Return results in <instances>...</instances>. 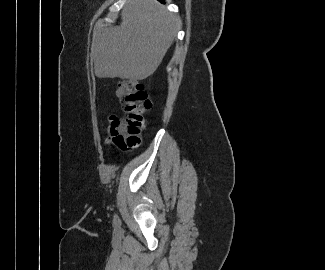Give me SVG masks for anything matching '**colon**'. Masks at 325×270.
Here are the masks:
<instances>
[{
	"instance_id": "colon-1",
	"label": "colon",
	"mask_w": 325,
	"mask_h": 270,
	"mask_svg": "<svg viewBox=\"0 0 325 270\" xmlns=\"http://www.w3.org/2000/svg\"><path fill=\"white\" fill-rule=\"evenodd\" d=\"M117 96L121 101L125 116L118 119L111 131V139L119 149L129 151L141 142V133L145 127V114L151 107V101L144 86L135 80L119 82Z\"/></svg>"
}]
</instances>
